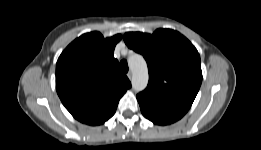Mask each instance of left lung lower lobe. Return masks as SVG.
Instances as JSON below:
<instances>
[{"mask_svg": "<svg viewBox=\"0 0 261 150\" xmlns=\"http://www.w3.org/2000/svg\"><path fill=\"white\" fill-rule=\"evenodd\" d=\"M142 114L153 123L166 125L179 120L185 113L159 105L137 96Z\"/></svg>", "mask_w": 261, "mask_h": 150, "instance_id": "left-lung-lower-lobe-1", "label": "left lung lower lobe"}]
</instances>
